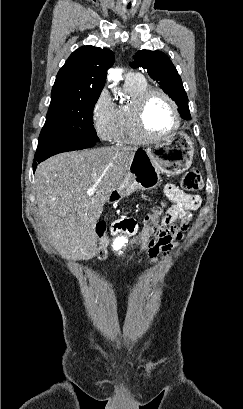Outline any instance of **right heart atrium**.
<instances>
[{"instance_id":"d8ad5b80","label":"right heart atrium","mask_w":243,"mask_h":409,"mask_svg":"<svg viewBox=\"0 0 243 409\" xmlns=\"http://www.w3.org/2000/svg\"><path fill=\"white\" fill-rule=\"evenodd\" d=\"M92 126L103 141H113L117 129L116 106L106 90L98 95L92 108Z\"/></svg>"}]
</instances>
